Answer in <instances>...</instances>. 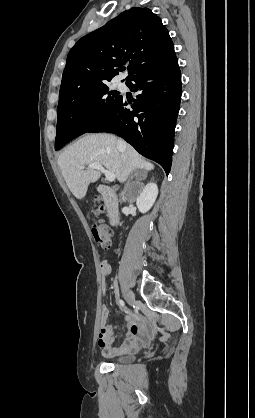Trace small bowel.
<instances>
[{
  "label": "small bowel",
  "instance_id": "c3829d8e",
  "mask_svg": "<svg viewBox=\"0 0 255 418\" xmlns=\"http://www.w3.org/2000/svg\"><path fill=\"white\" fill-rule=\"evenodd\" d=\"M112 266L108 260L100 262V273L103 282L110 274ZM108 310L103 307L101 313V327L98 336V345L106 357H113L140 349L151 337V330L143 324L142 318L137 313H128L127 333L125 340L120 345H115V328L107 325Z\"/></svg>",
  "mask_w": 255,
  "mask_h": 418
}]
</instances>
